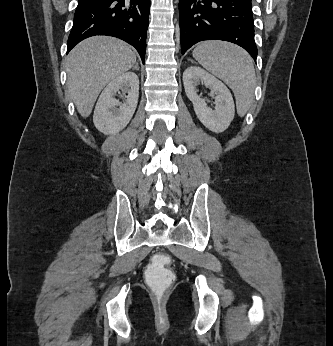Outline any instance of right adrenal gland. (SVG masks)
<instances>
[{"label":"right adrenal gland","mask_w":333,"mask_h":346,"mask_svg":"<svg viewBox=\"0 0 333 346\" xmlns=\"http://www.w3.org/2000/svg\"><path fill=\"white\" fill-rule=\"evenodd\" d=\"M133 70H139V66H138V63L135 64V66L133 67Z\"/></svg>","instance_id":"2a0ac1e0"}]
</instances>
